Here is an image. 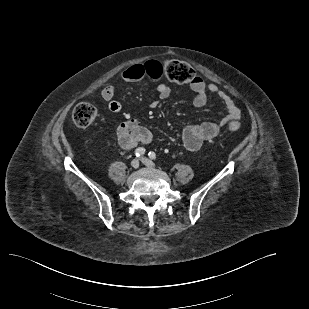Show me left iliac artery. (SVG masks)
Instances as JSON below:
<instances>
[{
  "mask_svg": "<svg viewBox=\"0 0 309 309\" xmlns=\"http://www.w3.org/2000/svg\"><path fill=\"white\" fill-rule=\"evenodd\" d=\"M149 157L152 159V160H155L156 159V154L154 152H149Z\"/></svg>",
  "mask_w": 309,
  "mask_h": 309,
  "instance_id": "1",
  "label": "left iliac artery"
}]
</instances>
